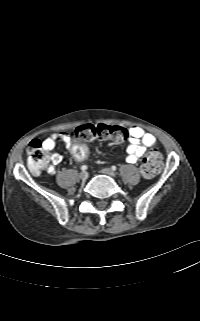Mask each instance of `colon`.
I'll use <instances>...</instances> for the list:
<instances>
[{
  "mask_svg": "<svg viewBox=\"0 0 200 321\" xmlns=\"http://www.w3.org/2000/svg\"><path fill=\"white\" fill-rule=\"evenodd\" d=\"M75 136L82 141L111 140L123 142L128 133L125 128L109 126L104 124L82 125L75 130ZM28 166L34 174L40 173L46 166L48 155L43 147V142L34 139L28 148ZM69 153L78 162H84L89 157L88 148L83 143H74L69 148ZM163 160L161 154L156 149H150L143 158L140 171L143 177L153 178L162 168Z\"/></svg>",
  "mask_w": 200,
  "mask_h": 321,
  "instance_id": "obj_1",
  "label": "colon"
}]
</instances>
